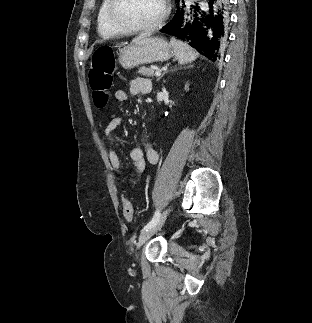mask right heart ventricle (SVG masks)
I'll list each match as a JSON object with an SVG mask.
<instances>
[{
    "label": "right heart ventricle",
    "mask_w": 312,
    "mask_h": 323,
    "mask_svg": "<svg viewBox=\"0 0 312 323\" xmlns=\"http://www.w3.org/2000/svg\"><path fill=\"white\" fill-rule=\"evenodd\" d=\"M110 1H99L95 6L93 18L96 20V33H114V29H121V22L112 18Z\"/></svg>",
    "instance_id": "e07e8e85"
}]
</instances>
